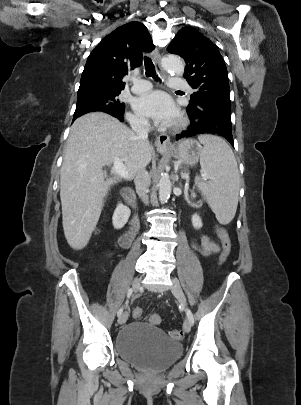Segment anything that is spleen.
I'll return each instance as SVG.
<instances>
[{"label": "spleen", "instance_id": "spleen-1", "mask_svg": "<svg viewBox=\"0 0 301 405\" xmlns=\"http://www.w3.org/2000/svg\"><path fill=\"white\" fill-rule=\"evenodd\" d=\"M198 140L204 146L200 155L204 180L198 186L219 223L228 224L234 218L238 205L240 177L235 156L218 136L201 135Z\"/></svg>", "mask_w": 301, "mask_h": 405}]
</instances>
